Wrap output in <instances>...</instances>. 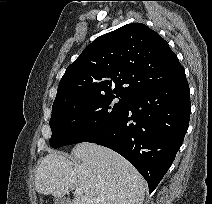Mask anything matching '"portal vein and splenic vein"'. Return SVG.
Here are the masks:
<instances>
[{
    "mask_svg": "<svg viewBox=\"0 0 212 204\" xmlns=\"http://www.w3.org/2000/svg\"><path fill=\"white\" fill-rule=\"evenodd\" d=\"M75 194L79 197H82L83 195V190L81 188H76L75 189Z\"/></svg>",
    "mask_w": 212,
    "mask_h": 204,
    "instance_id": "1",
    "label": "portal vein and splenic vein"
}]
</instances>
